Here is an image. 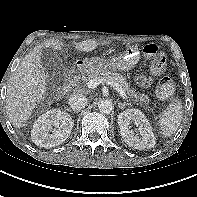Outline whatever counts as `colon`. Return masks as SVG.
I'll return each instance as SVG.
<instances>
[{
    "mask_svg": "<svg viewBox=\"0 0 197 197\" xmlns=\"http://www.w3.org/2000/svg\"><path fill=\"white\" fill-rule=\"evenodd\" d=\"M144 55L150 60L151 69L155 73H162L167 66L166 56L156 44H147L143 48ZM157 95L162 99H169L174 93V83L169 77H163L157 87Z\"/></svg>",
    "mask_w": 197,
    "mask_h": 197,
    "instance_id": "obj_1",
    "label": "colon"
}]
</instances>
